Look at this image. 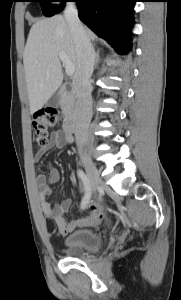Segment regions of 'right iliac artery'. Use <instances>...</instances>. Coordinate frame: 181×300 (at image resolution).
Masks as SVG:
<instances>
[{
  "label": "right iliac artery",
  "instance_id": "82829eb1",
  "mask_svg": "<svg viewBox=\"0 0 181 300\" xmlns=\"http://www.w3.org/2000/svg\"><path fill=\"white\" fill-rule=\"evenodd\" d=\"M78 177L81 179L83 186H84V190H85V196L83 199V202L81 204V208H85V206L87 205V203L90 200L91 197V184L89 182L88 177L86 176V174L82 171V170H78L77 172Z\"/></svg>",
  "mask_w": 181,
  "mask_h": 300
}]
</instances>
